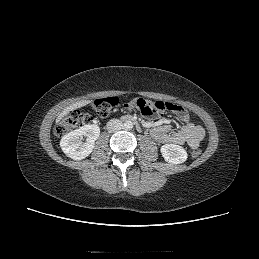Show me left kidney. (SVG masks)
<instances>
[{"instance_id": "left-kidney-1", "label": "left kidney", "mask_w": 259, "mask_h": 259, "mask_svg": "<svg viewBox=\"0 0 259 259\" xmlns=\"http://www.w3.org/2000/svg\"><path fill=\"white\" fill-rule=\"evenodd\" d=\"M165 161L171 164H180L187 160L186 150L176 144H165L160 149Z\"/></svg>"}]
</instances>
